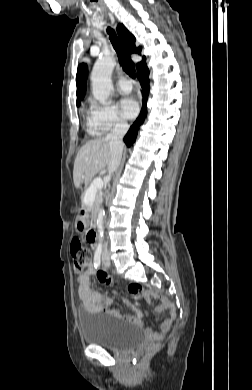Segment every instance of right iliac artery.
<instances>
[{"label":"right iliac artery","mask_w":252,"mask_h":390,"mask_svg":"<svg viewBox=\"0 0 252 390\" xmlns=\"http://www.w3.org/2000/svg\"><path fill=\"white\" fill-rule=\"evenodd\" d=\"M101 252H102V246L99 245L95 251V254H94V266L95 268H98L100 267V264H101Z\"/></svg>","instance_id":"right-iliac-artery-1"}]
</instances>
